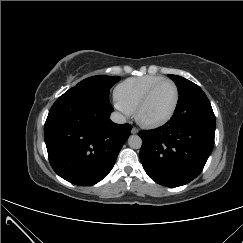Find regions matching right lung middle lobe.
Segmentation results:
<instances>
[{
	"label": "right lung middle lobe",
	"mask_w": 243,
	"mask_h": 243,
	"mask_svg": "<svg viewBox=\"0 0 243 243\" xmlns=\"http://www.w3.org/2000/svg\"><path fill=\"white\" fill-rule=\"evenodd\" d=\"M119 80V76H92L82 80L70 90H88L109 99L110 88Z\"/></svg>",
	"instance_id": "dd1d6c3e"
}]
</instances>
